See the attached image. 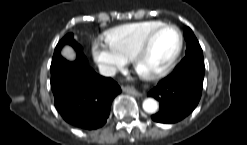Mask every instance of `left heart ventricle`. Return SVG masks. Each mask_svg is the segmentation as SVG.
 <instances>
[{
	"mask_svg": "<svg viewBox=\"0 0 247 145\" xmlns=\"http://www.w3.org/2000/svg\"><path fill=\"white\" fill-rule=\"evenodd\" d=\"M179 43L176 30L166 28L153 39L147 52L139 60L137 70L147 74L165 66L175 54Z\"/></svg>",
	"mask_w": 247,
	"mask_h": 145,
	"instance_id": "left-heart-ventricle-1",
	"label": "left heart ventricle"
}]
</instances>
